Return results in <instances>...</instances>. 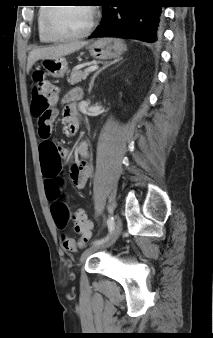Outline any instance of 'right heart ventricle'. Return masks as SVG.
<instances>
[{"label":"right heart ventricle","instance_id":"e07e8e85","mask_svg":"<svg viewBox=\"0 0 213 338\" xmlns=\"http://www.w3.org/2000/svg\"><path fill=\"white\" fill-rule=\"evenodd\" d=\"M43 5H46V4H43ZM48 7L49 6H39V10L37 13V29H38L39 39L40 41L45 42V43H50L54 41L46 35V33L44 32V27H43L44 18L48 10Z\"/></svg>","mask_w":213,"mask_h":338}]
</instances>
